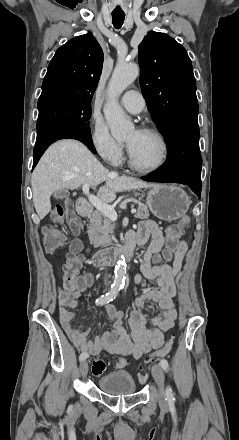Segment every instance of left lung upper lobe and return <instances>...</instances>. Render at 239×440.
<instances>
[{
    "instance_id": "obj_1",
    "label": "left lung upper lobe",
    "mask_w": 239,
    "mask_h": 440,
    "mask_svg": "<svg viewBox=\"0 0 239 440\" xmlns=\"http://www.w3.org/2000/svg\"><path fill=\"white\" fill-rule=\"evenodd\" d=\"M138 48L142 93L165 140L176 130L198 126L196 81L185 48L167 34L154 31Z\"/></svg>"
}]
</instances>
